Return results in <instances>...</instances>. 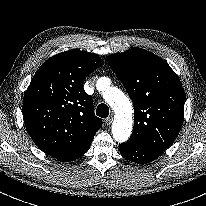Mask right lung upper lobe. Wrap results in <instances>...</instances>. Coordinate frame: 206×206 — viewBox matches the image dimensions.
<instances>
[{
    "mask_svg": "<svg viewBox=\"0 0 206 206\" xmlns=\"http://www.w3.org/2000/svg\"><path fill=\"white\" fill-rule=\"evenodd\" d=\"M103 65L93 53L73 49L49 58L36 72L23 98L26 130L36 146L62 160L89 145L102 127L85 78Z\"/></svg>",
    "mask_w": 206,
    "mask_h": 206,
    "instance_id": "right-lung-upper-lobe-1",
    "label": "right lung upper lobe"
}]
</instances>
